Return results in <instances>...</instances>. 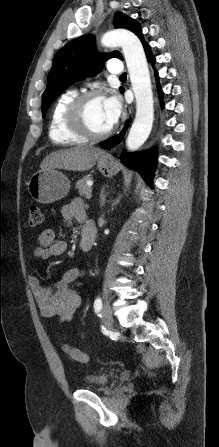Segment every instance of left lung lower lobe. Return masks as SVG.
Segmentation results:
<instances>
[{"label": "left lung lower lobe", "instance_id": "left-lung-lower-lobe-1", "mask_svg": "<svg viewBox=\"0 0 219 447\" xmlns=\"http://www.w3.org/2000/svg\"><path fill=\"white\" fill-rule=\"evenodd\" d=\"M143 46L145 49V52L147 54V58L151 61L153 64L155 62V58L150 53V46L146 44L143 40ZM156 77L158 76V73L155 71ZM158 80V78H157ZM158 91L159 96L161 98L162 91L160 86L158 85ZM127 128V124L124 126L123 130L116 136H113L101 143V146L109 149L111 146L117 144L120 142L124 136L125 130ZM121 161L127 165L128 167L132 169H137L143 176L144 180L147 182V184L152 188L151 186V178L153 175L154 170V164H155V152H147V153H122Z\"/></svg>", "mask_w": 219, "mask_h": 447}]
</instances>
